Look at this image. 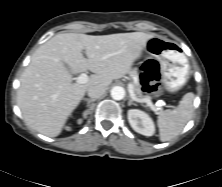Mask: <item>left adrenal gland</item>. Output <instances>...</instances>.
<instances>
[{
    "mask_svg": "<svg viewBox=\"0 0 222 187\" xmlns=\"http://www.w3.org/2000/svg\"><path fill=\"white\" fill-rule=\"evenodd\" d=\"M130 105L136 106V104L131 99H129V101H128V106H130Z\"/></svg>",
    "mask_w": 222,
    "mask_h": 187,
    "instance_id": "1",
    "label": "left adrenal gland"
}]
</instances>
